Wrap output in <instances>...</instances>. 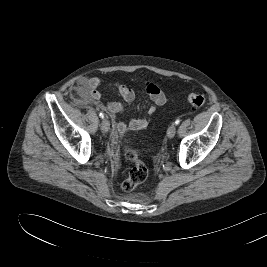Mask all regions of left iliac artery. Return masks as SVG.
Wrapping results in <instances>:
<instances>
[{
	"instance_id": "left-iliac-artery-1",
	"label": "left iliac artery",
	"mask_w": 267,
	"mask_h": 267,
	"mask_svg": "<svg viewBox=\"0 0 267 267\" xmlns=\"http://www.w3.org/2000/svg\"><path fill=\"white\" fill-rule=\"evenodd\" d=\"M179 123H180V120L177 119V120L175 121V125H178Z\"/></svg>"
}]
</instances>
